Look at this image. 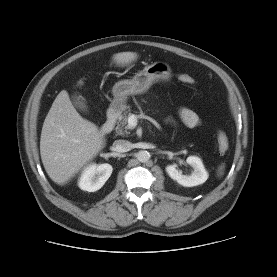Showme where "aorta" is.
<instances>
[{"mask_svg":"<svg viewBox=\"0 0 277 277\" xmlns=\"http://www.w3.org/2000/svg\"><path fill=\"white\" fill-rule=\"evenodd\" d=\"M137 159L140 162H147L150 159V153L145 150H141L137 153Z\"/></svg>","mask_w":277,"mask_h":277,"instance_id":"obj_1","label":"aorta"}]
</instances>
